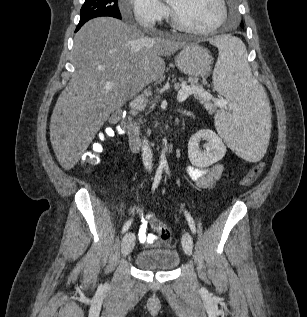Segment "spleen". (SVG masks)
<instances>
[{
    "instance_id": "spleen-1",
    "label": "spleen",
    "mask_w": 307,
    "mask_h": 317,
    "mask_svg": "<svg viewBox=\"0 0 307 317\" xmlns=\"http://www.w3.org/2000/svg\"><path fill=\"white\" fill-rule=\"evenodd\" d=\"M209 47L219 56L213 71V84L224 94L232 111H221L215 118L219 135L241 155L242 160H261L271 139L270 102L265 86L251 74L245 45L230 33H213Z\"/></svg>"
}]
</instances>
